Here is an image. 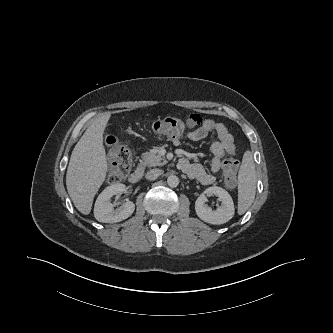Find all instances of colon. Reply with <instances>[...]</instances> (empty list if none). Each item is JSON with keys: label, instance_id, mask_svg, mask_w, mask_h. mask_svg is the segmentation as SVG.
<instances>
[{"label": "colon", "instance_id": "5ec220e1", "mask_svg": "<svg viewBox=\"0 0 333 333\" xmlns=\"http://www.w3.org/2000/svg\"><path fill=\"white\" fill-rule=\"evenodd\" d=\"M201 118L197 115H189L185 118H164L155 120L152 123L153 131L170 138H179L184 131L201 123ZM108 154L112 161V166L108 172L107 179L110 183H117L125 178L132 167V157L127 145L120 143L116 137L106 138ZM238 161L234 155L228 153V158L223 163L225 182L233 187L237 182Z\"/></svg>", "mask_w": 333, "mask_h": 333}]
</instances>
